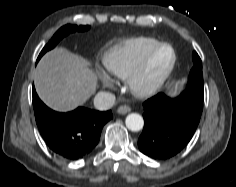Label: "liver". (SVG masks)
I'll use <instances>...</instances> for the list:
<instances>
[{
    "label": "liver",
    "instance_id": "1",
    "mask_svg": "<svg viewBox=\"0 0 236 187\" xmlns=\"http://www.w3.org/2000/svg\"><path fill=\"white\" fill-rule=\"evenodd\" d=\"M34 84L48 107L66 112L89 99L97 88V77L87 60L64 48H55L38 63Z\"/></svg>",
    "mask_w": 236,
    "mask_h": 187
}]
</instances>
